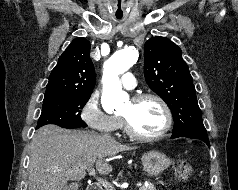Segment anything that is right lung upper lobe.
<instances>
[{
	"mask_svg": "<svg viewBox=\"0 0 238 190\" xmlns=\"http://www.w3.org/2000/svg\"><path fill=\"white\" fill-rule=\"evenodd\" d=\"M89 52L87 39L79 37L71 42L50 74L44 98L91 95L95 86V69Z\"/></svg>",
	"mask_w": 238,
	"mask_h": 190,
	"instance_id": "obj_1",
	"label": "right lung upper lobe"
}]
</instances>
